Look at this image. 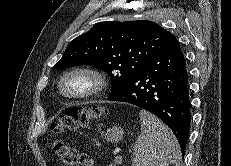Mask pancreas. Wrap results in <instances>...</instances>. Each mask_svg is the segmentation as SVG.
<instances>
[{
    "instance_id": "pancreas-1",
    "label": "pancreas",
    "mask_w": 231,
    "mask_h": 166,
    "mask_svg": "<svg viewBox=\"0 0 231 166\" xmlns=\"http://www.w3.org/2000/svg\"><path fill=\"white\" fill-rule=\"evenodd\" d=\"M116 164H118L117 161H115V164H111V165H109V166H116Z\"/></svg>"
}]
</instances>
